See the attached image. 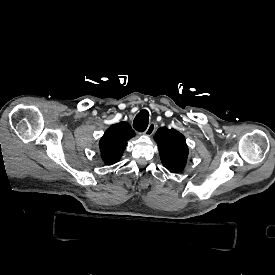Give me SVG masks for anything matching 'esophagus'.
<instances>
[{"mask_svg":"<svg viewBox=\"0 0 275 275\" xmlns=\"http://www.w3.org/2000/svg\"><path fill=\"white\" fill-rule=\"evenodd\" d=\"M156 130V124L155 123H150L144 134L146 136H151Z\"/></svg>","mask_w":275,"mask_h":275,"instance_id":"1","label":"esophagus"}]
</instances>
